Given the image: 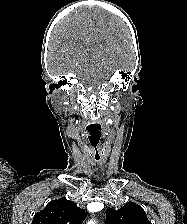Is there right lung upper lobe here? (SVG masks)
I'll use <instances>...</instances> for the list:
<instances>
[{"instance_id":"cb5924a9","label":"right lung upper lobe","mask_w":187,"mask_h":224,"mask_svg":"<svg viewBox=\"0 0 187 224\" xmlns=\"http://www.w3.org/2000/svg\"><path fill=\"white\" fill-rule=\"evenodd\" d=\"M86 213L74 202L66 199L53 200L35 214L32 224H82Z\"/></svg>"}]
</instances>
